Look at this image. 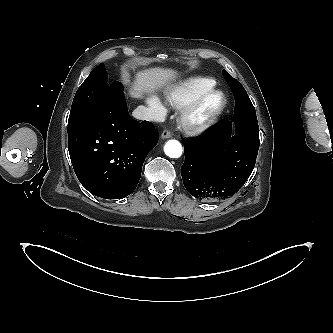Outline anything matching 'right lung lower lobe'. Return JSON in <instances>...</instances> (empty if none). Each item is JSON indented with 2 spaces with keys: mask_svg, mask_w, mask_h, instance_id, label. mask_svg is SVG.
I'll return each mask as SVG.
<instances>
[{
  "mask_svg": "<svg viewBox=\"0 0 333 333\" xmlns=\"http://www.w3.org/2000/svg\"><path fill=\"white\" fill-rule=\"evenodd\" d=\"M157 140L152 123L130 117L122 85L116 82L95 114L68 132V149L74 171L90 193L120 199L135 190Z\"/></svg>",
  "mask_w": 333,
  "mask_h": 333,
  "instance_id": "1",
  "label": "right lung lower lobe"
}]
</instances>
